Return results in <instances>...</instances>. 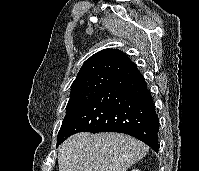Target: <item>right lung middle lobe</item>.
I'll list each match as a JSON object with an SVG mask.
<instances>
[{
    "instance_id": "obj_1",
    "label": "right lung middle lobe",
    "mask_w": 199,
    "mask_h": 171,
    "mask_svg": "<svg viewBox=\"0 0 199 171\" xmlns=\"http://www.w3.org/2000/svg\"><path fill=\"white\" fill-rule=\"evenodd\" d=\"M114 76L97 75L91 77L74 88H71L70 99L66 107V116L58 132V141L64 136L65 131L79 111L87 104L91 97L105 86Z\"/></svg>"
}]
</instances>
